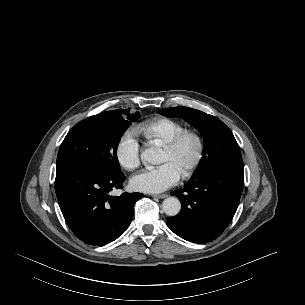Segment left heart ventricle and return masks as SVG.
<instances>
[{
    "mask_svg": "<svg viewBox=\"0 0 305 305\" xmlns=\"http://www.w3.org/2000/svg\"><path fill=\"white\" fill-rule=\"evenodd\" d=\"M196 154L197 146L195 140L187 138L175 151L163 149L160 163H172L183 173L194 162Z\"/></svg>",
    "mask_w": 305,
    "mask_h": 305,
    "instance_id": "left-heart-ventricle-1",
    "label": "left heart ventricle"
}]
</instances>
